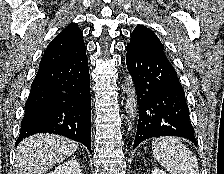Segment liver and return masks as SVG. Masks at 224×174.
Listing matches in <instances>:
<instances>
[{
    "instance_id": "obj_1",
    "label": "liver",
    "mask_w": 224,
    "mask_h": 174,
    "mask_svg": "<svg viewBox=\"0 0 224 174\" xmlns=\"http://www.w3.org/2000/svg\"><path fill=\"white\" fill-rule=\"evenodd\" d=\"M78 148L73 140L55 134H36L17 147L14 174H45Z\"/></svg>"
}]
</instances>
